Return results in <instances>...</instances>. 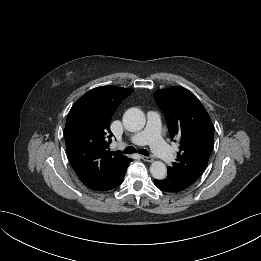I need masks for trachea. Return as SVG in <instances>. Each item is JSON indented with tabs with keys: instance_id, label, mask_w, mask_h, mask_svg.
Wrapping results in <instances>:
<instances>
[{
	"instance_id": "trachea-1",
	"label": "trachea",
	"mask_w": 261,
	"mask_h": 261,
	"mask_svg": "<svg viewBox=\"0 0 261 261\" xmlns=\"http://www.w3.org/2000/svg\"><path fill=\"white\" fill-rule=\"evenodd\" d=\"M136 152V149L133 147V146H128L124 149V153L125 154H132V153H135ZM139 154H142L144 156H148L149 155V152L146 150V149H140L138 151Z\"/></svg>"
}]
</instances>
